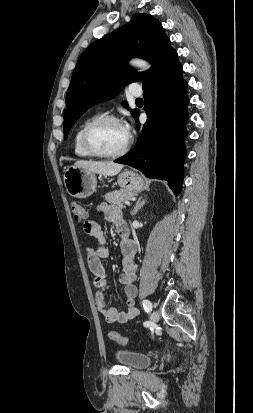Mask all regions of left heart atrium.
<instances>
[{
    "mask_svg": "<svg viewBox=\"0 0 253 413\" xmlns=\"http://www.w3.org/2000/svg\"><path fill=\"white\" fill-rule=\"evenodd\" d=\"M121 125H122L125 133H126L127 135H130V126H129V124L126 123V122H123V123H121Z\"/></svg>",
    "mask_w": 253,
    "mask_h": 413,
    "instance_id": "obj_1",
    "label": "left heart atrium"
}]
</instances>
